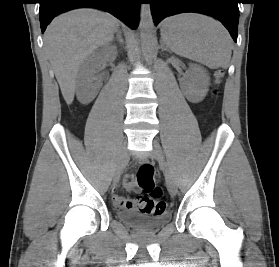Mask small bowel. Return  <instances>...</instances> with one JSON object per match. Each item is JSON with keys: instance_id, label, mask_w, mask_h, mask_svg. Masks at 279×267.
I'll return each mask as SVG.
<instances>
[{"instance_id": "obj_1", "label": "small bowel", "mask_w": 279, "mask_h": 267, "mask_svg": "<svg viewBox=\"0 0 279 267\" xmlns=\"http://www.w3.org/2000/svg\"><path fill=\"white\" fill-rule=\"evenodd\" d=\"M124 186L127 190H133L135 188V184L131 180L130 177H127L124 181ZM112 200L115 206L124 209H132L135 207L136 200L131 198H126L116 192L112 195Z\"/></svg>"}]
</instances>
